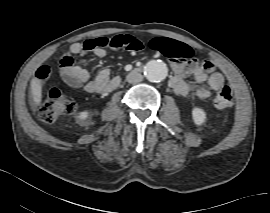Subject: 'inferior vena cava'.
<instances>
[{
  "label": "inferior vena cava",
  "instance_id": "602c4592",
  "mask_svg": "<svg viewBox=\"0 0 270 213\" xmlns=\"http://www.w3.org/2000/svg\"><path fill=\"white\" fill-rule=\"evenodd\" d=\"M126 80L131 84L139 83L143 80V76L138 72L132 71L127 75Z\"/></svg>",
  "mask_w": 270,
  "mask_h": 213
}]
</instances>
